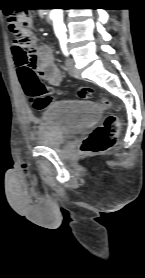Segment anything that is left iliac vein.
Segmentation results:
<instances>
[{"label":"left iliac vein","instance_id":"obj_1","mask_svg":"<svg viewBox=\"0 0 145 278\" xmlns=\"http://www.w3.org/2000/svg\"><path fill=\"white\" fill-rule=\"evenodd\" d=\"M66 69L71 76H77V70L75 68L74 62L71 59H67L66 61Z\"/></svg>","mask_w":145,"mask_h":278}]
</instances>
